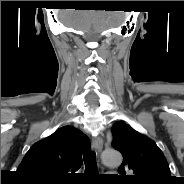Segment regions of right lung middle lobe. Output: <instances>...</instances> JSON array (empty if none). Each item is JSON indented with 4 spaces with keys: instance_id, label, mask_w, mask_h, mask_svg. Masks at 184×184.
<instances>
[{
    "instance_id": "1",
    "label": "right lung middle lobe",
    "mask_w": 184,
    "mask_h": 184,
    "mask_svg": "<svg viewBox=\"0 0 184 184\" xmlns=\"http://www.w3.org/2000/svg\"><path fill=\"white\" fill-rule=\"evenodd\" d=\"M32 183H35V184H46V183H42V182H32Z\"/></svg>"
}]
</instances>
